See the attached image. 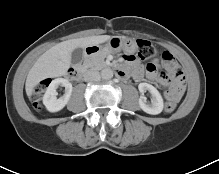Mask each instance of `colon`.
<instances>
[{
    "mask_svg": "<svg viewBox=\"0 0 219 174\" xmlns=\"http://www.w3.org/2000/svg\"><path fill=\"white\" fill-rule=\"evenodd\" d=\"M138 57L141 60H149V59H163V53H160L157 48L147 40H138ZM50 79H44L41 81L33 90L31 99L35 108L39 109L41 107V99L42 95L45 92L46 88L50 84ZM165 112L172 113L176 109V103L172 101H168L165 104Z\"/></svg>",
    "mask_w": 219,
    "mask_h": 174,
    "instance_id": "5ec220e1",
    "label": "colon"
}]
</instances>
